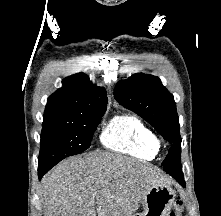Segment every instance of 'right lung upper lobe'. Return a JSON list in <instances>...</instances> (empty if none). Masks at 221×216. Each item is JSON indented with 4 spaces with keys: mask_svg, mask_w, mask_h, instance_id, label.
I'll return each mask as SVG.
<instances>
[{
    "mask_svg": "<svg viewBox=\"0 0 221 216\" xmlns=\"http://www.w3.org/2000/svg\"><path fill=\"white\" fill-rule=\"evenodd\" d=\"M63 87L47 100L43 124L72 121L80 116L106 111L107 94L92 85L84 73L63 79Z\"/></svg>",
    "mask_w": 221,
    "mask_h": 216,
    "instance_id": "1",
    "label": "right lung upper lobe"
}]
</instances>
